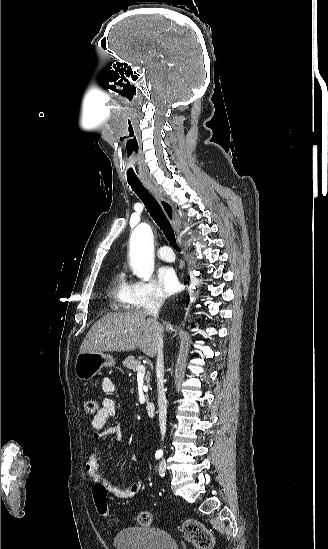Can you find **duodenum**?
Segmentation results:
<instances>
[{
  "label": "duodenum",
  "instance_id": "410a0bca",
  "mask_svg": "<svg viewBox=\"0 0 328 549\" xmlns=\"http://www.w3.org/2000/svg\"><path fill=\"white\" fill-rule=\"evenodd\" d=\"M146 412L149 416L153 417L156 414V406L153 402L149 401L145 405Z\"/></svg>",
  "mask_w": 328,
  "mask_h": 549
}]
</instances>
